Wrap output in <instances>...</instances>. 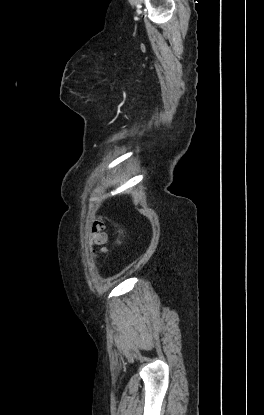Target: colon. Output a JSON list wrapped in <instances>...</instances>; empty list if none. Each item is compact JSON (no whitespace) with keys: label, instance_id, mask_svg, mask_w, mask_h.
Instances as JSON below:
<instances>
[{"label":"colon","instance_id":"1","mask_svg":"<svg viewBox=\"0 0 264 415\" xmlns=\"http://www.w3.org/2000/svg\"><path fill=\"white\" fill-rule=\"evenodd\" d=\"M104 223L105 218L103 216L96 218L92 224V235H93V252L95 255L99 256L106 252V241L107 237L104 232Z\"/></svg>","mask_w":264,"mask_h":415}]
</instances>
